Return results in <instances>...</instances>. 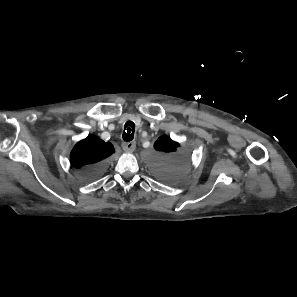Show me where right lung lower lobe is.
<instances>
[{"label": "right lung lower lobe", "mask_w": 297, "mask_h": 297, "mask_svg": "<svg viewBox=\"0 0 297 297\" xmlns=\"http://www.w3.org/2000/svg\"><path fill=\"white\" fill-rule=\"evenodd\" d=\"M105 168H106L105 162L98 163L96 165H93L84 169L82 174L86 180H93L99 177L104 172Z\"/></svg>", "instance_id": "right-lung-lower-lobe-1"}]
</instances>
